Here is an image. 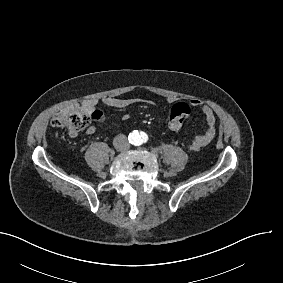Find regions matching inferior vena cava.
<instances>
[{"instance_id":"obj_1","label":"inferior vena cava","mask_w":283,"mask_h":283,"mask_svg":"<svg viewBox=\"0 0 283 283\" xmlns=\"http://www.w3.org/2000/svg\"><path fill=\"white\" fill-rule=\"evenodd\" d=\"M113 144L118 151H124L130 148L125 135H118L114 138Z\"/></svg>"}]
</instances>
